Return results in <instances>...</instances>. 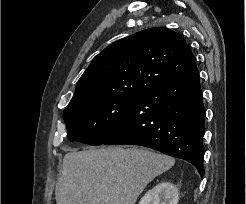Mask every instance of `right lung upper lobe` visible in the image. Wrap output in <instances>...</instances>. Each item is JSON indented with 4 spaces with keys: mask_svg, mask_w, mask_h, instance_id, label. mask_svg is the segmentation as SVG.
<instances>
[{
    "mask_svg": "<svg viewBox=\"0 0 246 204\" xmlns=\"http://www.w3.org/2000/svg\"><path fill=\"white\" fill-rule=\"evenodd\" d=\"M193 64V54L177 32L164 27L140 31L93 59L68 106L106 95L142 94Z\"/></svg>",
    "mask_w": 246,
    "mask_h": 204,
    "instance_id": "right-lung-upper-lobe-1",
    "label": "right lung upper lobe"
}]
</instances>
